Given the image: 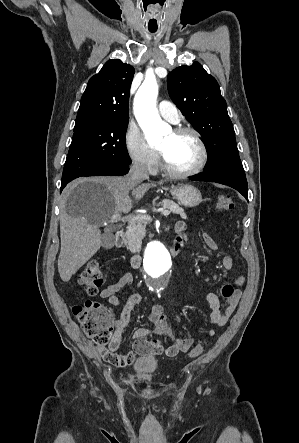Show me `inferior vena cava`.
I'll list each match as a JSON object with an SVG mask.
<instances>
[{
  "label": "inferior vena cava",
  "mask_w": 299,
  "mask_h": 443,
  "mask_svg": "<svg viewBox=\"0 0 299 443\" xmlns=\"http://www.w3.org/2000/svg\"><path fill=\"white\" fill-rule=\"evenodd\" d=\"M129 185L133 187L143 180L149 179L147 168L144 164L135 162L129 171Z\"/></svg>",
  "instance_id": "inferior-vena-cava-1"
}]
</instances>
